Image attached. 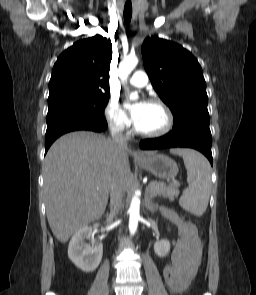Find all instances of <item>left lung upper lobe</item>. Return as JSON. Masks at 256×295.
Segmentation results:
<instances>
[{
  "instance_id": "left-lung-upper-lobe-1",
  "label": "left lung upper lobe",
  "mask_w": 256,
  "mask_h": 295,
  "mask_svg": "<svg viewBox=\"0 0 256 295\" xmlns=\"http://www.w3.org/2000/svg\"><path fill=\"white\" fill-rule=\"evenodd\" d=\"M141 52L154 89L173 114V129L187 123L209 126L206 83L197 59L181 45L158 37L147 38Z\"/></svg>"
}]
</instances>
